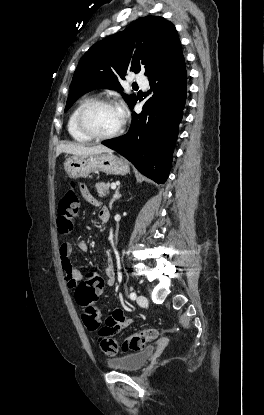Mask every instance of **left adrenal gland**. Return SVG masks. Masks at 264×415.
<instances>
[{
    "label": "left adrenal gland",
    "instance_id": "a2214340",
    "mask_svg": "<svg viewBox=\"0 0 264 415\" xmlns=\"http://www.w3.org/2000/svg\"><path fill=\"white\" fill-rule=\"evenodd\" d=\"M119 190H120V186H118V188L116 189L113 197L111 198V200L109 202L110 209H112V205H113L114 201L121 197V194L119 193Z\"/></svg>",
    "mask_w": 264,
    "mask_h": 415
}]
</instances>
